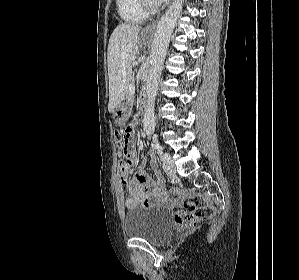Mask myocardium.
<instances>
[{"mask_svg": "<svg viewBox=\"0 0 299 280\" xmlns=\"http://www.w3.org/2000/svg\"><path fill=\"white\" fill-rule=\"evenodd\" d=\"M141 7L147 14L155 13L158 10L157 4L150 0H139Z\"/></svg>", "mask_w": 299, "mask_h": 280, "instance_id": "myocardium-1", "label": "myocardium"}]
</instances>
